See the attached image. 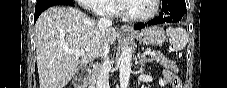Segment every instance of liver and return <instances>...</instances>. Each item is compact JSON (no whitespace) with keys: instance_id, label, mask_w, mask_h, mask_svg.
<instances>
[{"instance_id":"1","label":"liver","mask_w":227,"mask_h":88,"mask_svg":"<svg viewBox=\"0 0 227 88\" xmlns=\"http://www.w3.org/2000/svg\"><path fill=\"white\" fill-rule=\"evenodd\" d=\"M101 35L97 22L78 8L54 6L44 11L35 24L40 88H64L81 66L99 56L104 42L111 45L118 36L111 27L104 41ZM74 49L89 51L75 57L69 52Z\"/></svg>"}]
</instances>
